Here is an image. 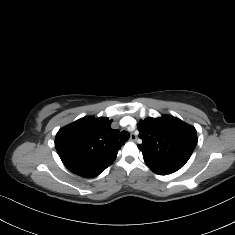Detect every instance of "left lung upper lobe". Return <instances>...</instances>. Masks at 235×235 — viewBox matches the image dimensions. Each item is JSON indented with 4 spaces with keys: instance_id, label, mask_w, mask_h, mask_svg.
I'll return each instance as SVG.
<instances>
[{
    "instance_id": "left-lung-upper-lobe-1",
    "label": "left lung upper lobe",
    "mask_w": 235,
    "mask_h": 235,
    "mask_svg": "<svg viewBox=\"0 0 235 235\" xmlns=\"http://www.w3.org/2000/svg\"><path fill=\"white\" fill-rule=\"evenodd\" d=\"M137 128L142 143L138 148L144 159L183 166L197 144L196 129L182 120L163 115L141 120Z\"/></svg>"
}]
</instances>
